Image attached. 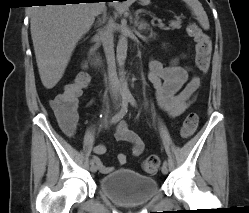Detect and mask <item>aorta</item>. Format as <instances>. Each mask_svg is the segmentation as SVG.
Segmentation results:
<instances>
[{
	"label": "aorta",
	"instance_id": "obj_1",
	"mask_svg": "<svg viewBox=\"0 0 249 213\" xmlns=\"http://www.w3.org/2000/svg\"><path fill=\"white\" fill-rule=\"evenodd\" d=\"M128 41L127 35L123 32L118 40L116 59L119 66V75H120V90L123 97H130V91L128 89L127 83L124 80V64L127 56Z\"/></svg>",
	"mask_w": 249,
	"mask_h": 213
}]
</instances>
